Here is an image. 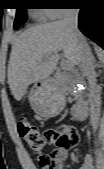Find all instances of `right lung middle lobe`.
I'll use <instances>...</instances> for the list:
<instances>
[{
	"mask_svg": "<svg viewBox=\"0 0 104 169\" xmlns=\"http://www.w3.org/2000/svg\"><path fill=\"white\" fill-rule=\"evenodd\" d=\"M26 20V8L21 6L17 8V14L14 23V29L19 28Z\"/></svg>",
	"mask_w": 104,
	"mask_h": 169,
	"instance_id": "right-lung-middle-lobe-1",
	"label": "right lung middle lobe"
}]
</instances>
